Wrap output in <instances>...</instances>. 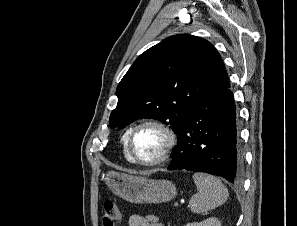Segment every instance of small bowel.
Returning a JSON list of instances; mask_svg holds the SVG:
<instances>
[{
	"instance_id": "c3829d8e",
	"label": "small bowel",
	"mask_w": 297,
	"mask_h": 226,
	"mask_svg": "<svg viewBox=\"0 0 297 226\" xmlns=\"http://www.w3.org/2000/svg\"><path fill=\"white\" fill-rule=\"evenodd\" d=\"M128 226H165L155 217H145L133 214L129 217Z\"/></svg>"
}]
</instances>
